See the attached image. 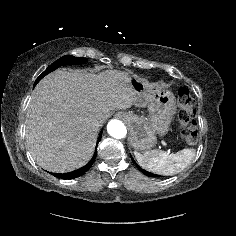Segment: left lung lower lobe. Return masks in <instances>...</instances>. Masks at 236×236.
Returning <instances> with one entry per match:
<instances>
[{"label": "left lung lower lobe", "instance_id": "obj_1", "mask_svg": "<svg viewBox=\"0 0 236 236\" xmlns=\"http://www.w3.org/2000/svg\"><path fill=\"white\" fill-rule=\"evenodd\" d=\"M131 158H132V156H131ZM132 160H133V158H132ZM133 162L135 163V165H136L145 175L151 176V177H157L156 174H152V173H150V172H147V171L143 170L141 167H139V166L136 164V162H135L134 160H133Z\"/></svg>", "mask_w": 236, "mask_h": 236}]
</instances>
